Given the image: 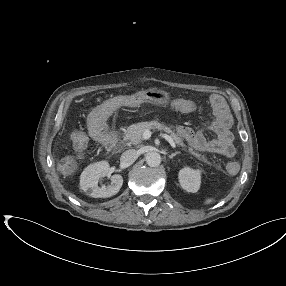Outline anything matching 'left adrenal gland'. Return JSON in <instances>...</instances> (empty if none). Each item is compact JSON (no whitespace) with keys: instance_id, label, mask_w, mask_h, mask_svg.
Instances as JSON below:
<instances>
[{"instance_id":"a2214340","label":"left adrenal gland","mask_w":286,"mask_h":286,"mask_svg":"<svg viewBox=\"0 0 286 286\" xmlns=\"http://www.w3.org/2000/svg\"><path fill=\"white\" fill-rule=\"evenodd\" d=\"M178 154H180V152L172 153V154L168 155V157H169L170 159H173V157L176 156V155H178Z\"/></svg>"}]
</instances>
